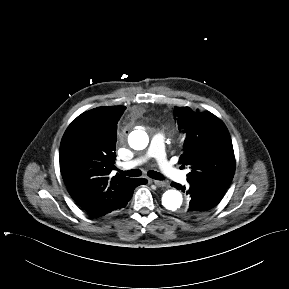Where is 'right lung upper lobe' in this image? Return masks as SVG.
I'll return each instance as SVG.
<instances>
[{"instance_id": "1", "label": "right lung upper lobe", "mask_w": 289, "mask_h": 289, "mask_svg": "<svg viewBox=\"0 0 289 289\" xmlns=\"http://www.w3.org/2000/svg\"><path fill=\"white\" fill-rule=\"evenodd\" d=\"M125 106L98 107L82 113L60 144V170L71 197L99 217L122 209L135 178L110 173L116 158L117 122Z\"/></svg>"}]
</instances>
